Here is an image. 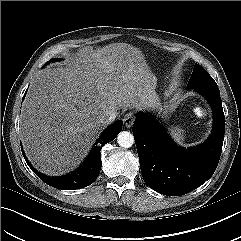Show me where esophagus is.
<instances>
[{
	"label": "esophagus",
	"instance_id": "esophagus-1",
	"mask_svg": "<svg viewBox=\"0 0 241 241\" xmlns=\"http://www.w3.org/2000/svg\"><path fill=\"white\" fill-rule=\"evenodd\" d=\"M134 121H135V117L132 112L125 114L123 118V122L127 128L132 127V125L134 124Z\"/></svg>",
	"mask_w": 241,
	"mask_h": 241
}]
</instances>
